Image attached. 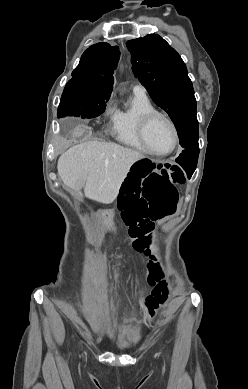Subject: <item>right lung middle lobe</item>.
I'll list each match as a JSON object with an SVG mask.
<instances>
[{"label": "right lung middle lobe", "mask_w": 248, "mask_h": 389, "mask_svg": "<svg viewBox=\"0 0 248 389\" xmlns=\"http://www.w3.org/2000/svg\"><path fill=\"white\" fill-rule=\"evenodd\" d=\"M112 91L92 88L81 78H72L63 91L58 117L94 118L105 111Z\"/></svg>", "instance_id": "right-lung-middle-lobe-1"}]
</instances>
